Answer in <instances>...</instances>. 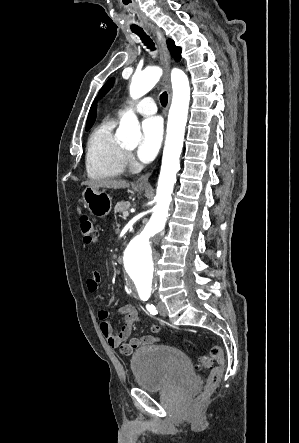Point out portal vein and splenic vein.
I'll return each mask as SVG.
<instances>
[{
	"label": "portal vein and splenic vein",
	"mask_w": 299,
	"mask_h": 443,
	"mask_svg": "<svg viewBox=\"0 0 299 443\" xmlns=\"http://www.w3.org/2000/svg\"><path fill=\"white\" fill-rule=\"evenodd\" d=\"M128 216H129V212L128 211L123 212V217L124 218H127Z\"/></svg>",
	"instance_id": "obj_1"
}]
</instances>
